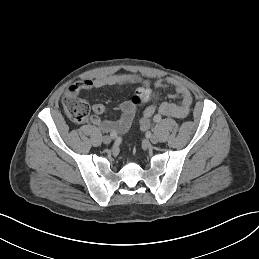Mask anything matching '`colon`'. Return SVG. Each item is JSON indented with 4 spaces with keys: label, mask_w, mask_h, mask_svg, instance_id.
<instances>
[{
    "label": "colon",
    "mask_w": 259,
    "mask_h": 259,
    "mask_svg": "<svg viewBox=\"0 0 259 259\" xmlns=\"http://www.w3.org/2000/svg\"><path fill=\"white\" fill-rule=\"evenodd\" d=\"M151 97V88L143 85L137 89L131 101L135 106L143 105ZM64 110L69 119L81 123L88 119L90 108L88 104L75 96H68L64 100Z\"/></svg>",
    "instance_id": "colon-1"
}]
</instances>
